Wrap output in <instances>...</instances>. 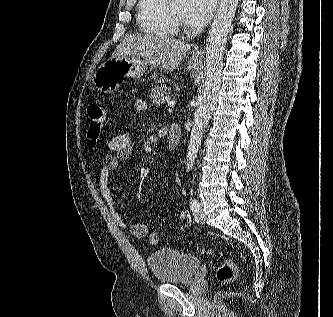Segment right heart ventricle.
<instances>
[{
  "instance_id": "1",
  "label": "right heart ventricle",
  "mask_w": 333,
  "mask_h": 317,
  "mask_svg": "<svg viewBox=\"0 0 333 317\" xmlns=\"http://www.w3.org/2000/svg\"><path fill=\"white\" fill-rule=\"evenodd\" d=\"M164 0H139L136 10L138 28L146 35L157 38H174L177 31L168 23Z\"/></svg>"
}]
</instances>
